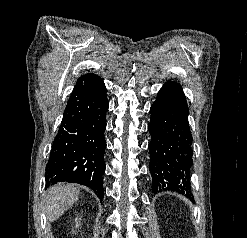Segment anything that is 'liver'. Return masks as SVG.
Returning a JSON list of instances; mask_svg holds the SVG:
<instances>
[{
	"label": "liver",
	"instance_id": "obj_1",
	"mask_svg": "<svg viewBox=\"0 0 247 238\" xmlns=\"http://www.w3.org/2000/svg\"><path fill=\"white\" fill-rule=\"evenodd\" d=\"M79 190L73 185L57 184L49 188L44 199V208L49 222L57 220L75 202H77Z\"/></svg>",
	"mask_w": 247,
	"mask_h": 238
}]
</instances>
